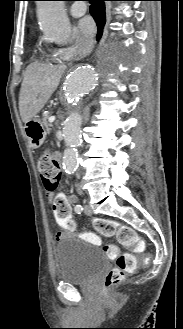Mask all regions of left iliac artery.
Instances as JSON below:
<instances>
[{
  "label": "left iliac artery",
  "instance_id": "1",
  "mask_svg": "<svg viewBox=\"0 0 183 329\" xmlns=\"http://www.w3.org/2000/svg\"><path fill=\"white\" fill-rule=\"evenodd\" d=\"M82 211H83V207H82V205L77 204V205L75 206V212L78 213V214H80Z\"/></svg>",
  "mask_w": 183,
  "mask_h": 329
}]
</instances>
